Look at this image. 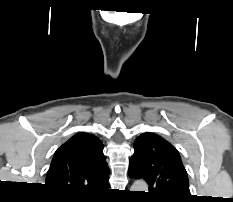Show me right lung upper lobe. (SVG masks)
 <instances>
[{
	"mask_svg": "<svg viewBox=\"0 0 233 202\" xmlns=\"http://www.w3.org/2000/svg\"><path fill=\"white\" fill-rule=\"evenodd\" d=\"M103 143L94 135L78 133L57 149L46 177L55 194L85 198L109 187V168Z\"/></svg>",
	"mask_w": 233,
	"mask_h": 202,
	"instance_id": "right-lung-upper-lobe-1",
	"label": "right lung upper lobe"
}]
</instances>
